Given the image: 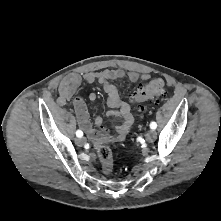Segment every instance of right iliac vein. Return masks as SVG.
<instances>
[{
	"instance_id": "63e3f726",
	"label": "right iliac vein",
	"mask_w": 221,
	"mask_h": 221,
	"mask_svg": "<svg viewBox=\"0 0 221 221\" xmlns=\"http://www.w3.org/2000/svg\"><path fill=\"white\" fill-rule=\"evenodd\" d=\"M86 143V139L85 138H78V139H76V144L78 145V146H82V145H84Z\"/></svg>"
}]
</instances>
